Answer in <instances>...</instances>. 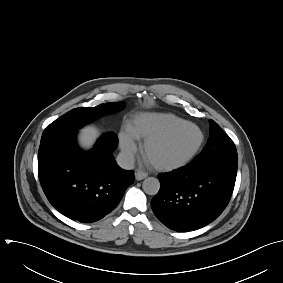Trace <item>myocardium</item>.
I'll return each mask as SVG.
<instances>
[{"instance_id": "1", "label": "myocardium", "mask_w": 283, "mask_h": 283, "mask_svg": "<svg viewBox=\"0 0 283 283\" xmlns=\"http://www.w3.org/2000/svg\"><path fill=\"white\" fill-rule=\"evenodd\" d=\"M182 126H192L194 127L198 132H199V140L196 144V146L193 148V150L186 155L184 158H182L181 160L174 162V163H170V164H156L153 162H150L147 159V150L150 146L158 144L162 141H164L166 138H168L174 131H176L178 128L182 127ZM205 141V135L203 130L195 123L191 122V121H182L179 123H176L172 126H170L169 128H167L166 130L162 131L161 133L150 137L146 140H144V142L141 145V153L143 155V157L146 159V161L148 162V164L154 168L157 171H161V172H172V171H176L178 169H181L183 167H185L186 165H188L200 152L203 144Z\"/></svg>"}]
</instances>
